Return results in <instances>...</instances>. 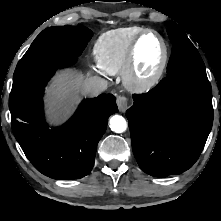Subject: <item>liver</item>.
Instances as JSON below:
<instances>
[{
	"label": "liver",
	"mask_w": 221,
	"mask_h": 221,
	"mask_svg": "<svg viewBox=\"0 0 221 221\" xmlns=\"http://www.w3.org/2000/svg\"><path fill=\"white\" fill-rule=\"evenodd\" d=\"M88 79V78H86ZM85 80L83 77L77 76L73 78L69 74L61 75L56 82L48 89L49 97L47 99L49 109L56 115H64L68 111V107L65 106L64 102L66 96L69 95L71 90L81 89L85 92ZM69 87L68 89H66Z\"/></svg>",
	"instance_id": "obj_1"
}]
</instances>
